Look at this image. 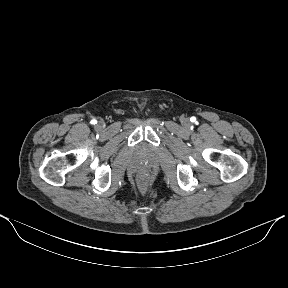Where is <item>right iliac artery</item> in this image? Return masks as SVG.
<instances>
[{"instance_id":"1","label":"right iliac artery","mask_w":288,"mask_h":288,"mask_svg":"<svg viewBox=\"0 0 288 288\" xmlns=\"http://www.w3.org/2000/svg\"><path fill=\"white\" fill-rule=\"evenodd\" d=\"M97 121L95 119L91 120V124H96Z\"/></svg>"}]
</instances>
